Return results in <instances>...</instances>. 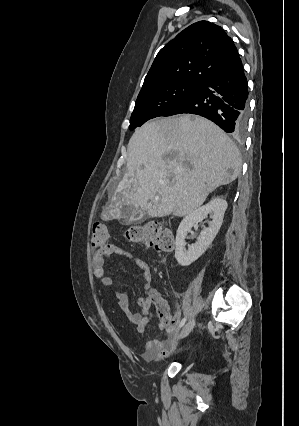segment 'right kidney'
Returning a JSON list of instances; mask_svg holds the SVG:
<instances>
[{"instance_id": "obj_1", "label": "right kidney", "mask_w": 299, "mask_h": 426, "mask_svg": "<svg viewBox=\"0 0 299 426\" xmlns=\"http://www.w3.org/2000/svg\"><path fill=\"white\" fill-rule=\"evenodd\" d=\"M227 206L225 199L216 197L183 218L178 227L175 242V258L179 265L189 266L207 250L222 225ZM208 214H212L209 227H204L196 243L186 249L185 237L187 233L194 224L205 219Z\"/></svg>"}]
</instances>
